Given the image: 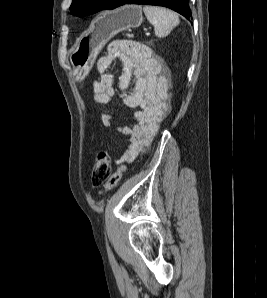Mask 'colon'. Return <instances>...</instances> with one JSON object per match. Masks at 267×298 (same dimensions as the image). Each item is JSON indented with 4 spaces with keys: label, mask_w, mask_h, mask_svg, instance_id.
Returning <instances> with one entry per match:
<instances>
[{
    "label": "colon",
    "mask_w": 267,
    "mask_h": 298,
    "mask_svg": "<svg viewBox=\"0 0 267 298\" xmlns=\"http://www.w3.org/2000/svg\"><path fill=\"white\" fill-rule=\"evenodd\" d=\"M111 160L107 150H100L94 160L91 181L95 187L104 186V192L112 190L121 180L126 166L121 165L110 176Z\"/></svg>",
    "instance_id": "5ec220e1"
}]
</instances>
